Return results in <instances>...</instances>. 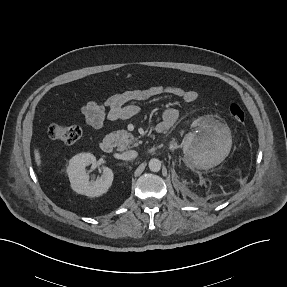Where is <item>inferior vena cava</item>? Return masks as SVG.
I'll return each instance as SVG.
<instances>
[{
	"label": "inferior vena cava",
	"mask_w": 287,
	"mask_h": 287,
	"mask_svg": "<svg viewBox=\"0 0 287 287\" xmlns=\"http://www.w3.org/2000/svg\"><path fill=\"white\" fill-rule=\"evenodd\" d=\"M138 153L135 150H129L126 152L122 153V159L123 160H132L135 159L137 157Z\"/></svg>",
	"instance_id": "inferior-vena-cava-1"
}]
</instances>
